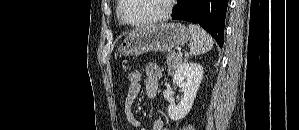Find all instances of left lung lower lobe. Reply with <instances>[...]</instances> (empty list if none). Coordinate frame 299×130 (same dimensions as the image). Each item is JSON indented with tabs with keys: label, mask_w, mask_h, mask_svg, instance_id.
Listing matches in <instances>:
<instances>
[{
	"label": "left lung lower lobe",
	"mask_w": 299,
	"mask_h": 130,
	"mask_svg": "<svg viewBox=\"0 0 299 130\" xmlns=\"http://www.w3.org/2000/svg\"><path fill=\"white\" fill-rule=\"evenodd\" d=\"M228 0H178L172 19L200 24L223 46Z\"/></svg>",
	"instance_id": "1"
}]
</instances>
